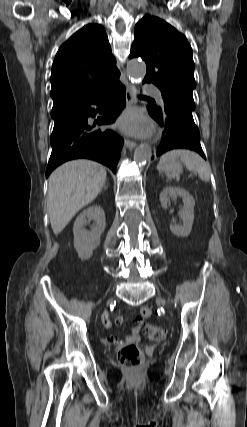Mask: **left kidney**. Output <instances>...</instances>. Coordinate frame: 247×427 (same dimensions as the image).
Wrapping results in <instances>:
<instances>
[{"mask_svg": "<svg viewBox=\"0 0 247 427\" xmlns=\"http://www.w3.org/2000/svg\"><path fill=\"white\" fill-rule=\"evenodd\" d=\"M181 197L183 200V209L179 212L182 219V225H170L171 232L177 237H187L191 230L194 221V198L186 190L178 187L167 186L160 193L161 206L166 209L170 198Z\"/></svg>", "mask_w": 247, "mask_h": 427, "instance_id": "left-kidney-1", "label": "left kidney"}]
</instances>
